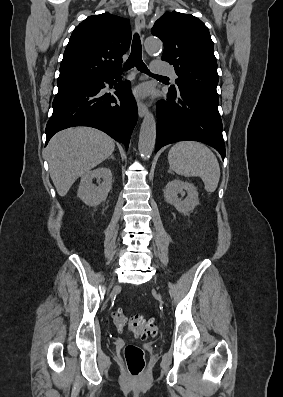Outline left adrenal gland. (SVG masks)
<instances>
[{
    "label": "left adrenal gland",
    "mask_w": 283,
    "mask_h": 397,
    "mask_svg": "<svg viewBox=\"0 0 283 397\" xmlns=\"http://www.w3.org/2000/svg\"><path fill=\"white\" fill-rule=\"evenodd\" d=\"M169 173H172L171 169L168 170Z\"/></svg>",
    "instance_id": "obj_1"
}]
</instances>
